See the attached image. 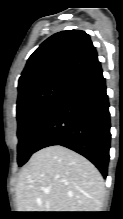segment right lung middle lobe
I'll return each instance as SVG.
<instances>
[{
  "label": "right lung middle lobe",
  "mask_w": 123,
  "mask_h": 219,
  "mask_svg": "<svg viewBox=\"0 0 123 219\" xmlns=\"http://www.w3.org/2000/svg\"><path fill=\"white\" fill-rule=\"evenodd\" d=\"M67 81H54L29 90L17 100L18 164L35 152L36 141L59 100Z\"/></svg>",
  "instance_id": "dd1d6c3e"
}]
</instances>
